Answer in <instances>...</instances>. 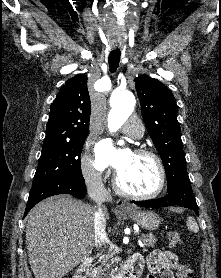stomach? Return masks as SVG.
I'll return each instance as SVG.
<instances>
[{"mask_svg": "<svg viewBox=\"0 0 221 278\" xmlns=\"http://www.w3.org/2000/svg\"><path fill=\"white\" fill-rule=\"evenodd\" d=\"M124 215L128 216L142 228L147 230L156 229L161 222L159 215L152 211H141L138 209H131L124 211Z\"/></svg>", "mask_w": 221, "mask_h": 278, "instance_id": "stomach-1", "label": "stomach"}]
</instances>
